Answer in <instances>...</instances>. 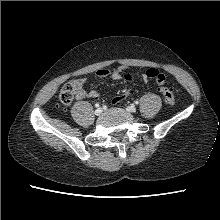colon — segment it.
Instances as JSON below:
<instances>
[{"instance_id": "5ec220e1", "label": "colon", "mask_w": 220, "mask_h": 220, "mask_svg": "<svg viewBox=\"0 0 220 220\" xmlns=\"http://www.w3.org/2000/svg\"><path fill=\"white\" fill-rule=\"evenodd\" d=\"M147 78L155 79L160 85V92L164 98V101L168 105H174L176 102L175 95L170 87L166 85V77L160 71L155 68H149L145 72ZM126 81H131L133 79V74L131 72H126L123 75ZM75 96V88L72 83H67L63 86L59 94V104L62 107H68Z\"/></svg>"}]
</instances>
